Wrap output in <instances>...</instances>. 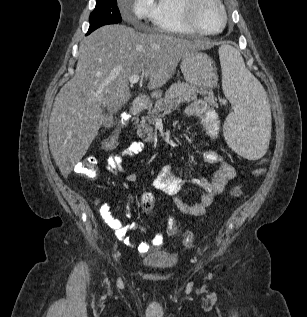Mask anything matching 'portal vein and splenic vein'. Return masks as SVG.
Returning <instances> with one entry per match:
<instances>
[{"mask_svg":"<svg viewBox=\"0 0 307 317\" xmlns=\"http://www.w3.org/2000/svg\"><path fill=\"white\" fill-rule=\"evenodd\" d=\"M140 76L139 75H133L129 78V83L131 84H135L139 81Z\"/></svg>","mask_w":307,"mask_h":317,"instance_id":"18ae733b","label":"portal vein and splenic vein"}]
</instances>
